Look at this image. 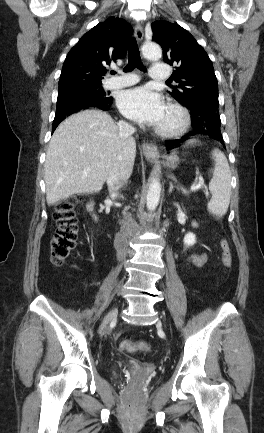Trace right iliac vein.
<instances>
[{
	"instance_id": "63e3f726",
	"label": "right iliac vein",
	"mask_w": 264,
	"mask_h": 433,
	"mask_svg": "<svg viewBox=\"0 0 264 433\" xmlns=\"http://www.w3.org/2000/svg\"><path fill=\"white\" fill-rule=\"evenodd\" d=\"M117 316V308H113L110 312V314L108 315V319L106 320L105 324L103 325L102 329H101V333L105 334L108 330V325L109 323L114 320Z\"/></svg>"
}]
</instances>
